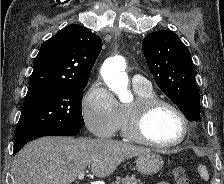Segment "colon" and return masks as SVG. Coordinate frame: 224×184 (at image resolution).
<instances>
[{
    "mask_svg": "<svg viewBox=\"0 0 224 184\" xmlns=\"http://www.w3.org/2000/svg\"><path fill=\"white\" fill-rule=\"evenodd\" d=\"M173 175L175 184H193L186 169L182 166H177L173 171Z\"/></svg>",
    "mask_w": 224,
    "mask_h": 184,
    "instance_id": "obj_1",
    "label": "colon"
}]
</instances>
